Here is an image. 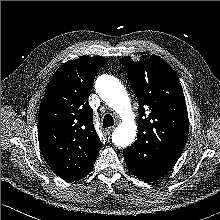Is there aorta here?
<instances>
[{
	"label": "aorta",
	"mask_w": 220,
	"mask_h": 220,
	"mask_svg": "<svg viewBox=\"0 0 220 220\" xmlns=\"http://www.w3.org/2000/svg\"><path fill=\"white\" fill-rule=\"evenodd\" d=\"M95 88L101 99L122 119L112 134V142L118 147L130 146L135 140L137 126L126 89L118 79L110 75L100 76Z\"/></svg>",
	"instance_id": "762f6f07"
}]
</instances>
